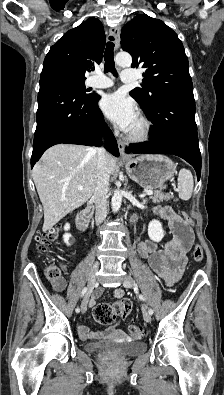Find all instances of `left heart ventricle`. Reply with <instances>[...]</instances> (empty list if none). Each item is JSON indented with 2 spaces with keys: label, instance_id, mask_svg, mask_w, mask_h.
Returning a JSON list of instances; mask_svg holds the SVG:
<instances>
[{
  "label": "left heart ventricle",
  "instance_id": "b2bd125f",
  "mask_svg": "<svg viewBox=\"0 0 224 395\" xmlns=\"http://www.w3.org/2000/svg\"><path fill=\"white\" fill-rule=\"evenodd\" d=\"M137 128V122L133 125V127L130 129V131L131 130H134V129H136Z\"/></svg>",
  "mask_w": 224,
  "mask_h": 395
}]
</instances>
